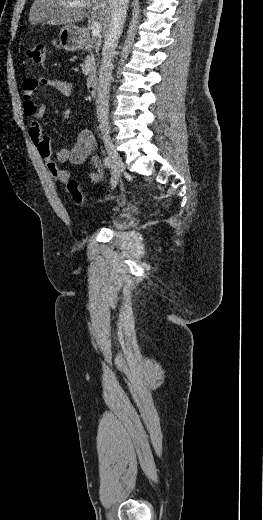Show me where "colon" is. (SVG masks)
Instances as JSON below:
<instances>
[{
    "mask_svg": "<svg viewBox=\"0 0 263 520\" xmlns=\"http://www.w3.org/2000/svg\"><path fill=\"white\" fill-rule=\"evenodd\" d=\"M26 55L35 64L42 65L45 62L46 45L44 43H36L26 51ZM66 187L73 201L78 205L82 204L84 198L78 183L75 180L70 179L67 181Z\"/></svg>",
    "mask_w": 263,
    "mask_h": 520,
    "instance_id": "1",
    "label": "colon"
}]
</instances>
